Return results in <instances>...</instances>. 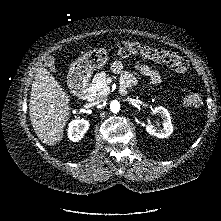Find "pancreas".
Returning <instances> with one entry per match:
<instances>
[{"instance_id": "cf45deb5", "label": "pancreas", "mask_w": 221, "mask_h": 221, "mask_svg": "<svg viewBox=\"0 0 221 221\" xmlns=\"http://www.w3.org/2000/svg\"><path fill=\"white\" fill-rule=\"evenodd\" d=\"M92 88L98 93V95H106L110 92L108 86V77L104 71L97 73L92 80Z\"/></svg>"}]
</instances>
